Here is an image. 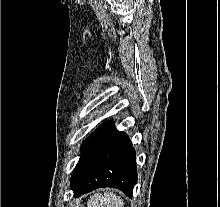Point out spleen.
<instances>
[{"instance_id":"1","label":"spleen","mask_w":220,"mask_h":207,"mask_svg":"<svg viewBox=\"0 0 220 207\" xmlns=\"http://www.w3.org/2000/svg\"><path fill=\"white\" fill-rule=\"evenodd\" d=\"M88 207H123V201L112 191L96 192L87 203Z\"/></svg>"}]
</instances>
